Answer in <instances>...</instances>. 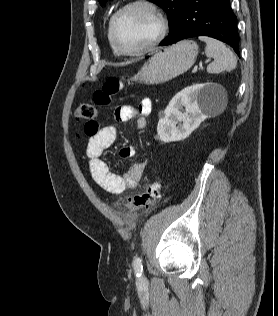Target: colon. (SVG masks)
Masks as SVG:
<instances>
[{
  "mask_svg": "<svg viewBox=\"0 0 278 316\" xmlns=\"http://www.w3.org/2000/svg\"><path fill=\"white\" fill-rule=\"evenodd\" d=\"M122 89V83L118 78L111 77L106 80L103 87L95 91L93 95L94 103L98 106L109 105L112 98ZM97 109L94 105L89 103H82L75 111V118L77 121L84 122V133L87 136L94 135L98 129L96 121ZM161 185L158 181L148 184L145 190L139 194L130 197L125 207L133 212L150 209L160 197Z\"/></svg>",
  "mask_w": 278,
  "mask_h": 316,
  "instance_id": "5ec220e1",
  "label": "colon"
}]
</instances>
